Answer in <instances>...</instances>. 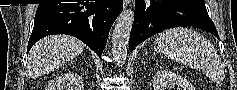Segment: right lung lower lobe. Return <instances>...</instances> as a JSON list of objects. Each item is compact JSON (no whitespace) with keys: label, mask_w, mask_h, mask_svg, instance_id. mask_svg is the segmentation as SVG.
Masks as SVG:
<instances>
[{"label":"right lung lower lobe","mask_w":237,"mask_h":90,"mask_svg":"<svg viewBox=\"0 0 237 90\" xmlns=\"http://www.w3.org/2000/svg\"><path fill=\"white\" fill-rule=\"evenodd\" d=\"M122 8V0L39 4L27 52L47 35L67 34L101 57L109 30Z\"/></svg>","instance_id":"98d812e1"}]
</instances>
